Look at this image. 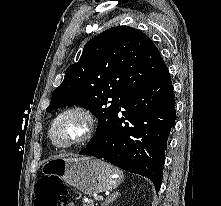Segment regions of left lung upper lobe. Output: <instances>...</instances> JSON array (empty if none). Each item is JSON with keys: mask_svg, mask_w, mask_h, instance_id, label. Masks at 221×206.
Returning a JSON list of instances; mask_svg holds the SVG:
<instances>
[{"mask_svg": "<svg viewBox=\"0 0 221 206\" xmlns=\"http://www.w3.org/2000/svg\"><path fill=\"white\" fill-rule=\"evenodd\" d=\"M167 70L154 43L128 26L110 28L86 43L80 60L69 66L47 111L82 105L98 118L93 144L112 127L122 105Z\"/></svg>", "mask_w": 221, "mask_h": 206, "instance_id": "obj_1", "label": "left lung upper lobe"}]
</instances>
